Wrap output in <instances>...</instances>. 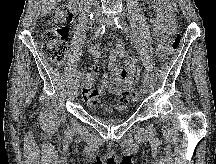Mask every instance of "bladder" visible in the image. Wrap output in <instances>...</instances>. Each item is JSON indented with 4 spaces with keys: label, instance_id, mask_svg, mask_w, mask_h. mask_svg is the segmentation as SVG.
I'll return each mask as SVG.
<instances>
[{
    "label": "bladder",
    "instance_id": "bladder-1",
    "mask_svg": "<svg viewBox=\"0 0 216 164\" xmlns=\"http://www.w3.org/2000/svg\"><path fill=\"white\" fill-rule=\"evenodd\" d=\"M99 121L105 125H114L123 121V118H100Z\"/></svg>",
    "mask_w": 216,
    "mask_h": 164
}]
</instances>
